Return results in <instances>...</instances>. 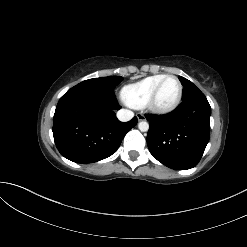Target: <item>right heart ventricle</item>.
Instances as JSON below:
<instances>
[{"label": "right heart ventricle", "instance_id": "1", "mask_svg": "<svg viewBox=\"0 0 247 247\" xmlns=\"http://www.w3.org/2000/svg\"><path fill=\"white\" fill-rule=\"evenodd\" d=\"M165 76L166 74H155L125 86L122 89L124 100L134 108L145 106L154 88Z\"/></svg>", "mask_w": 247, "mask_h": 247}]
</instances>
